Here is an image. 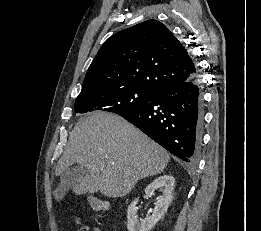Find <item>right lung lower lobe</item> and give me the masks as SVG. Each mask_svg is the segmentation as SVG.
I'll return each instance as SVG.
<instances>
[{"mask_svg":"<svg viewBox=\"0 0 261 231\" xmlns=\"http://www.w3.org/2000/svg\"><path fill=\"white\" fill-rule=\"evenodd\" d=\"M197 74L157 93L144 106L120 116L185 162L198 159L203 126Z\"/></svg>","mask_w":261,"mask_h":231,"instance_id":"98d812e1","label":"right lung lower lobe"}]
</instances>
